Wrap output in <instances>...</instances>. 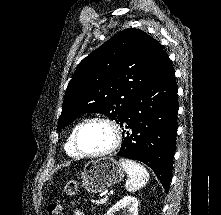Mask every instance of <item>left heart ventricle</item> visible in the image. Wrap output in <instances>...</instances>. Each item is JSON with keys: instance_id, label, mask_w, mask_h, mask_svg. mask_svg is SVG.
Returning a JSON list of instances; mask_svg holds the SVG:
<instances>
[{"instance_id": "b2bd125f", "label": "left heart ventricle", "mask_w": 221, "mask_h": 215, "mask_svg": "<svg viewBox=\"0 0 221 215\" xmlns=\"http://www.w3.org/2000/svg\"><path fill=\"white\" fill-rule=\"evenodd\" d=\"M78 143L81 150L87 153L104 151L109 148L112 143L111 130L104 123H90L81 130Z\"/></svg>"}]
</instances>
